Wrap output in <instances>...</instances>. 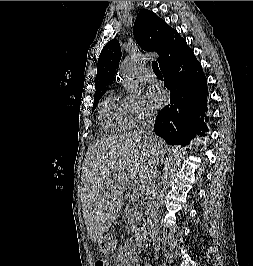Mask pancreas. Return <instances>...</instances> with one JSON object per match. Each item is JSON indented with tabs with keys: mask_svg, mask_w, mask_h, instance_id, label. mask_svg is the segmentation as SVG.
I'll return each mask as SVG.
<instances>
[{
	"mask_svg": "<svg viewBox=\"0 0 253 266\" xmlns=\"http://www.w3.org/2000/svg\"><path fill=\"white\" fill-rule=\"evenodd\" d=\"M129 198L130 200L127 204L126 215L128 223L131 225V227L136 228L141 217V212L139 211V204L137 203L139 202V193H132Z\"/></svg>",
	"mask_w": 253,
	"mask_h": 266,
	"instance_id": "1",
	"label": "pancreas"
}]
</instances>
